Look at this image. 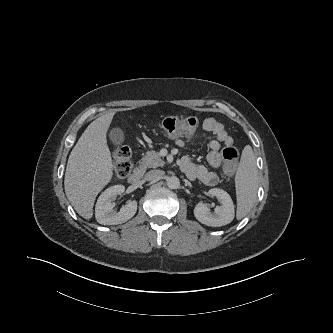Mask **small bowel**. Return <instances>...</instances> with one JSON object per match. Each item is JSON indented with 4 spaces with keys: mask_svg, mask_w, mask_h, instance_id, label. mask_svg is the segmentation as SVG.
Masks as SVG:
<instances>
[{
    "mask_svg": "<svg viewBox=\"0 0 333 333\" xmlns=\"http://www.w3.org/2000/svg\"><path fill=\"white\" fill-rule=\"evenodd\" d=\"M208 133L213 134L214 138L208 143L209 153L207 161L211 168L217 169L222 164L220 154L221 145H231L233 140L227 133L222 123L214 118H207L203 122V132L192 133L189 135L191 141H196L206 137ZM175 143L178 147H184L185 142L182 139H176ZM181 169L191 179H197L207 186H215L219 182V176L216 172L209 170L206 166L194 163L191 158L184 156L180 162Z\"/></svg>",
    "mask_w": 333,
    "mask_h": 333,
    "instance_id": "small-bowel-1",
    "label": "small bowel"
}]
</instances>
